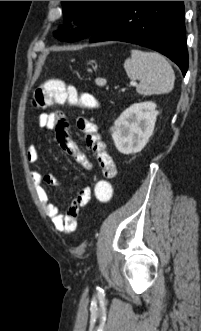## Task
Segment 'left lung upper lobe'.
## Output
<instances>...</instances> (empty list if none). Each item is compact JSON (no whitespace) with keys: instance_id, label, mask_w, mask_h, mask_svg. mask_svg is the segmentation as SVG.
Returning a JSON list of instances; mask_svg holds the SVG:
<instances>
[{"instance_id":"obj_1","label":"left lung upper lobe","mask_w":201,"mask_h":331,"mask_svg":"<svg viewBox=\"0 0 201 331\" xmlns=\"http://www.w3.org/2000/svg\"><path fill=\"white\" fill-rule=\"evenodd\" d=\"M120 1H62L64 26L70 21L79 24L71 30H58L55 37L65 41H78L91 37L113 12Z\"/></svg>"}]
</instances>
